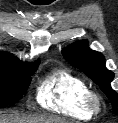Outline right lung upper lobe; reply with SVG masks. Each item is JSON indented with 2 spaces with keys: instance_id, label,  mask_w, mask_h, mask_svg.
<instances>
[{
  "instance_id": "obj_1",
  "label": "right lung upper lobe",
  "mask_w": 118,
  "mask_h": 123,
  "mask_svg": "<svg viewBox=\"0 0 118 123\" xmlns=\"http://www.w3.org/2000/svg\"><path fill=\"white\" fill-rule=\"evenodd\" d=\"M0 63L12 64L25 70H33L39 65V61H36L34 64L23 63L12 54L3 51H0Z\"/></svg>"
}]
</instances>
